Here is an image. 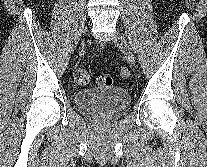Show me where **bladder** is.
I'll return each instance as SVG.
<instances>
[{
    "instance_id": "31cf9c89",
    "label": "bladder",
    "mask_w": 207,
    "mask_h": 167,
    "mask_svg": "<svg viewBox=\"0 0 207 167\" xmlns=\"http://www.w3.org/2000/svg\"><path fill=\"white\" fill-rule=\"evenodd\" d=\"M76 105L90 113L115 114L130 104V94L122 87L87 88L74 95Z\"/></svg>"
}]
</instances>
